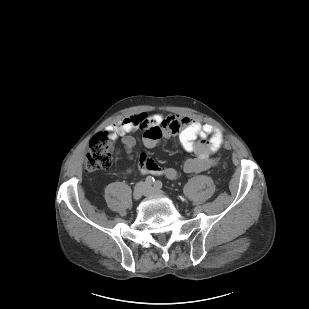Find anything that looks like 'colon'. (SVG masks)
<instances>
[{
	"mask_svg": "<svg viewBox=\"0 0 309 309\" xmlns=\"http://www.w3.org/2000/svg\"><path fill=\"white\" fill-rule=\"evenodd\" d=\"M231 143L222 141L221 147L229 150ZM113 160V147L110 138L106 134L95 136L89 143L84 158V169L94 172L108 169Z\"/></svg>",
	"mask_w": 309,
	"mask_h": 309,
	"instance_id": "colon-1",
	"label": "colon"
}]
</instances>
